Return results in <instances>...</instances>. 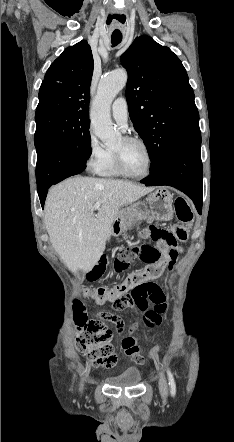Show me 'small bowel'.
<instances>
[{
	"mask_svg": "<svg viewBox=\"0 0 234 442\" xmlns=\"http://www.w3.org/2000/svg\"><path fill=\"white\" fill-rule=\"evenodd\" d=\"M142 237L150 238V234L148 233L147 230H144L142 232ZM182 253H183L182 246L175 244L170 253L162 254L159 257L158 262L160 264H162L164 267H168L169 269H172L178 259V256ZM150 285L153 287H157L161 291V289L157 285L152 284V283H150ZM131 288H132V286L129 287V289H131ZM103 317L107 318V320H111L112 322H114V325L116 327H118L117 331L119 333H122L124 336H127L126 338H122V341L127 342V343H123V348H124L126 354L129 356H137V354L139 353V347L135 344L137 342V337L131 336V333H134L136 331V328L141 327V325H143L147 328H151V327L152 328H155V327L159 328V327H161L162 323L165 321V316L163 314H153L152 316H146V317L142 316L141 320L143 322H141V320H139V319H136L133 322L134 326L130 325L126 329H124L123 328L124 321L119 320V317L117 315L103 314ZM89 325L92 328H95L98 325V328L101 331H104L107 328L106 323L101 322V321L97 322V320H95V319L90 320ZM156 351H158V350H156ZM151 357H153V356L151 355Z\"/></svg>",
	"mask_w": 234,
	"mask_h": 442,
	"instance_id": "obj_1",
	"label": "small bowel"
}]
</instances>
